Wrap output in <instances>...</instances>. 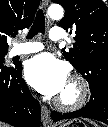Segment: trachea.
<instances>
[{"label": "trachea", "instance_id": "3493384b", "mask_svg": "<svg viewBox=\"0 0 108 127\" xmlns=\"http://www.w3.org/2000/svg\"><path fill=\"white\" fill-rule=\"evenodd\" d=\"M39 32L42 34L45 32V16L43 10L41 9H39V11L37 12L35 21L31 26V29L29 30L26 38L31 39Z\"/></svg>", "mask_w": 108, "mask_h": 127}]
</instances>
